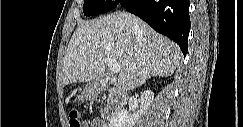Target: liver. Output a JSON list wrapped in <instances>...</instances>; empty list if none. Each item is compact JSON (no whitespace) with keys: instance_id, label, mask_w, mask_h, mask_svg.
Segmentation results:
<instances>
[{"instance_id":"1","label":"liver","mask_w":243,"mask_h":127,"mask_svg":"<svg viewBox=\"0 0 243 127\" xmlns=\"http://www.w3.org/2000/svg\"><path fill=\"white\" fill-rule=\"evenodd\" d=\"M107 57L121 66L118 82L133 90L153 76L172 75L181 51L140 18L114 12L77 27L63 60V85L102 78Z\"/></svg>"}]
</instances>
